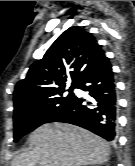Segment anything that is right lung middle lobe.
<instances>
[{"label": "right lung middle lobe", "mask_w": 135, "mask_h": 166, "mask_svg": "<svg viewBox=\"0 0 135 166\" xmlns=\"http://www.w3.org/2000/svg\"><path fill=\"white\" fill-rule=\"evenodd\" d=\"M73 88L75 87L68 89L69 94L66 97H63V90L44 100L14 109V141L40 125L52 122L58 114L66 110L75 98Z\"/></svg>", "instance_id": "right-lung-middle-lobe-1"}]
</instances>
